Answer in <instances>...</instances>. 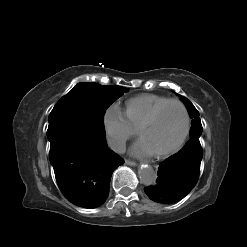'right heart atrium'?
Wrapping results in <instances>:
<instances>
[{
    "mask_svg": "<svg viewBox=\"0 0 247 247\" xmlns=\"http://www.w3.org/2000/svg\"><path fill=\"white\" fill-rule=\"evenodd\" d=\"M103 126L107 142L116 152L123 151L127 141L136 133L126 120L124 112L115 105L106 109Z\"/></svg>",
    "mask_w": 247,
    "mask_h": 247,
    "instance_id": "obj_1",
    "label": "right heart atrium"
}]
</instances>
